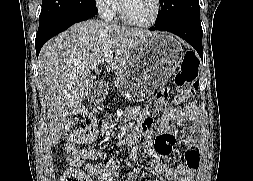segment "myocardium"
Segmentation results:
<instances>
[{
  "instance_id": "myocardium-1",
  "label": "myocardium",
  "mask_w": 253,
  "mask_h": 181,
  "mask_svg": "<svg viewBox=\"0 0 253 181\" xmlns=\"http://www.w3.org/2000/svg\"><path fill=\"white\" fill-rule=\"evenodd\" d=\"M161 12V1L160 0H154V12L152 17L148 20V21H136L134 19H132L130 17V15L127 12V8L125 5V1L124 0H120V13H121V17L123 19V21L131 26L134 27H141V28H148L153 26L156 21L158 20V17L160 15Z\"/></svg>"
}]
</instances>
